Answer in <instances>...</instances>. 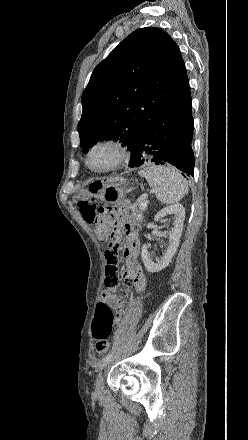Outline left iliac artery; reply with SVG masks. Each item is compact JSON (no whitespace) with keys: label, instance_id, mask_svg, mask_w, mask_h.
I'll use <instances>...</instances> for the list:
<instances>
[{"label":"left iliac artery","instance_id":"obj_1","mask_svg":"<svg viewBox=\"0 0 248 440\" xmlns=\"http://www.w3.org/2000/svg\"><path fill=\"white\" fill-rule=\"evenodd\" d=\"M111 358H112L111 353H108L106 356H104L100 362V368L106 366V364L110 361Z\"/></svg>","mask_w":248,"mask_h":440}]
</instances>
